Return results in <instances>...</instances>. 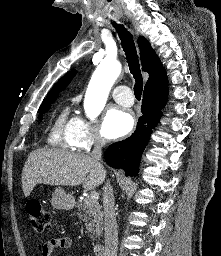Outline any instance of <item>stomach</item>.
<instances>
[{
  "label": "stomach",
  "instance_id": "stomach-1",
  "mask_svg": "<svg viewBox=\"0 0 221 256\" xmlns=\"http://www.w3.org/2000/svg\"><path fill=\"white\" fill-rule=\"evenodd\" d=\"M51 204L59 210H70L75 205V199L72 195L66 193L64 189L58 187L52 194Z\"/></svg>",
  "mask_w": 221,
  "mask_h": 256
}]
</instances>
